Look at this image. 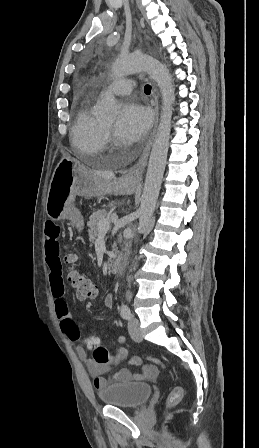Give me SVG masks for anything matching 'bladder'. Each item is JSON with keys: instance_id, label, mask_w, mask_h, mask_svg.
I'll use <instances>...</instances> for the list:
<instances>
[{"instance_id": "obj_1", "label": "bladder", "mask_w": 259, "mask_h": 448, "mask_svg": "<svg viewBox=\"0 0 259 448\" xmlns=\"http://www.w3.org/2000/svg\"><path fill=\"white\" fill-rule=\"evenodd\" d=\"M152 393L151 384L129 382L109 385L98 393V397L107 405L136 408L143 405Z\"/></svg>"}]
</instances>
